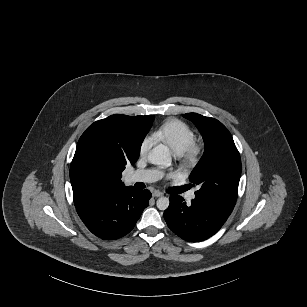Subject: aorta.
Returning a JSON list of instances; mask_svg holds the SVG:
<instances>
[{
	"instance_id": "obj_1",
	"label": "aorta",
	"mask_w": 307,
	"mask_h": 307,
	"mask_svg": "<svg viewBox=\"0 0 307 307\" xmlns=\"http://www.w3.org/2000/svg\"><path fill=\"white\" fill-rule=\"evenodd\" d=\"M148 160L151 164L161 167H169L172 163L170 150L167 146L159 144L155 146L148 154ZM159 210H166L169 206V198L161 196L156 201Z\"/></svg>"
}]
</instances>
